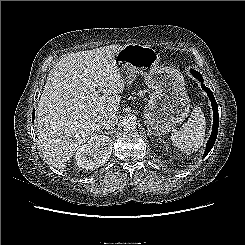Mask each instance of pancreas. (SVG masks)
Segmentation results:
<instances>
[{"label": "pancreas", "mask_w": 245, "mask_h": 245, "mask_svg": "<svg viewBox=\"0 0 245 245\" xmlns=\"http://www.w3.org/2000/svg\"><path fill=\"white\" fill-rule=\"evenodd\" d=\"M133 95H140V96H143L144 93L142 91L138 92V93H132ZM133 97V96H132Z\"/></svg>", "instance_id": "1"}]
</instances>
